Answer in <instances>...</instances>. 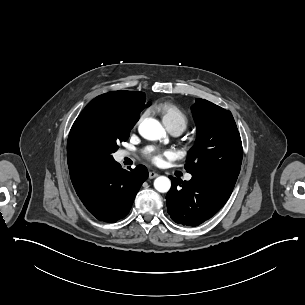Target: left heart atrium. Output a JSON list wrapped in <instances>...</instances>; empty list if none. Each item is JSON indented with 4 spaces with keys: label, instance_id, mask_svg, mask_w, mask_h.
Here are the masks:
<instances>
[{
    "label": "left heart atrium",
    "instance_id": "1",
    "mask_svg": "<svg viewBox=\"0 0 305 305\" xmlns=\"http://www.w3.org/2000/svg\"><path fill=\"white\" fill-rule=\"evenodd\" d=\"M143 154L155 164L161 163L164 157L173 156V152L170 150H160L152 146L146 147Z\"/></svg>",
    "mask_w": 305,
    "mask_h": 305
}]
</instances>
